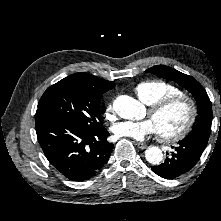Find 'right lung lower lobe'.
Listing matches in <instances>:
<instances>
[{"instance_id":"98d812e1","label":"right lung lower lobe","mask_w":221,"mask_h":221,"mask_svg":"<svg viewBox=\"0 0 221 221\" xmlns=\"http://www.w3.org/2000/svg\"><path fill=\"white\" fill-rule=\"evenodd\" d=\"M38 142L54 168L72 181H85L108 161L114 145L103 128L88 131L46 111L36 112Z\"/></svg>"}]
</instances>
